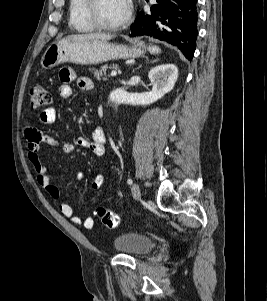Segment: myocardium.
I'll list each match as a JSON object with an SVG mask.
<instances>
[{"instance_id":"f54148a6","label":"myocardium","mask_w":267,"mask_h":301,"mask_svg":"<svg viewBox=\"0 0 267 301\" xmlns=\"http://www.w3.org/2000/svg\"><path fill=\"white\" fill-rule=\"evenodd\" d=\"M99 2L100 0H87V5H86L87 17L96 29L104 30V31H116L124 28L130 23L132 18V13H133L132 0H125L126 13L124 17L115 24H106L99 18L97 12Z\"/></svg>"}]
</instances>
